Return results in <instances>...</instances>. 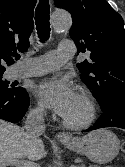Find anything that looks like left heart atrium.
I'll list each match as a JSON object with an SVG mask.
<instances>
[{
	"instance_id": "obj_1",
	"label": "left heart atrium",
	"mask_w": 125,
	"mask_h": 167,
	"mask_svg": "<svg viewBox=\"0 0 125 167\" xmlns=\"http://www.w3.org/2000/svg\"><path fill=\"white\" fill-rule=\"evenodd\" d=\"M34 93L43 105L63 117L76 98V92L70 80L62 76H51L40 80L34 86Z\"/></svg>"
}]
</instances>
